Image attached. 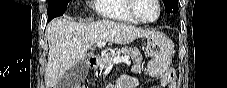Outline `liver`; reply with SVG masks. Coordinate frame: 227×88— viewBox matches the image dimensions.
<instances>
[{
	"mask_svg": "<svg viewBox=\"0 0 227 88\" xmlns=\"http://www.w3.org/2000/svg\"><path fill=\"white\" fill-rule=\"evenodd\" d=\"M153 33L110 20L78 23L66 16L52 20L46 30L49 44L46 88H56L65 72L83 60L97 43L110 41L126 45Z\"/></svg>",
	"mask_w": 227,
	"mask_h": 88,
	"instance_id": "6515ba94",
	"label": "liver"
}]
</instances>
